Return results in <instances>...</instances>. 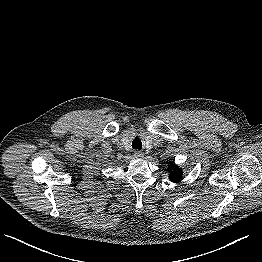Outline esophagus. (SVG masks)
I'll use <instances>...</instances> for the list:
<instances>
[{
  "label": "esophagus",
  "mask_w": 262,
  "mask_h": 262,
  "mask_svg": "<svg viewBox=\"0 0 262 262\" xmlns=\"http://www.w3.org/2000/svg\"><path fill=\"white\" fill-rule=\"evenodd\" d=\"M143 153L141 152V151H135L134 152V156L136 157V158H141V157H143Z\"/></svg>",
  "instance_id": "esophagus-1"
}]
</instances>
